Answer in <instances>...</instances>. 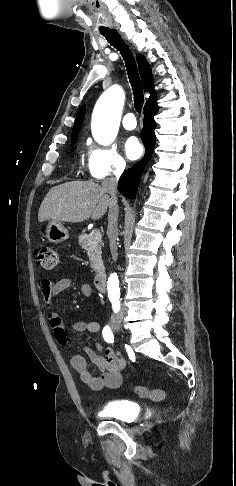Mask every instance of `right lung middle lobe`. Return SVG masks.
<instances>
[{
    "label": "right lung middle lobe",
    "instance_id": "dd1d6c3e",
    "mask_svg": "<svg viewBox=\"0 0 236 486\" xmlns=\"http://www.w3.org/2000/svg\"><path fill=\"white\" fill-rule=\"evenodd\" d=\"M77 138H78V137H76V138H73V139H72L71 146H73V145L76 143Z\"/></svg>",
    "mask_w": 236,
    "mask_h": 486
}]
</instances>
